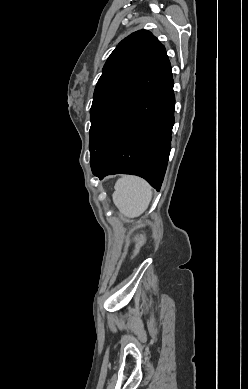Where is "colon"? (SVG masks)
Wrapping results in <instances>:
<instances>
[{
	"label": "colon",
	"instance_id": "1",
	"mask_svg": "<svg viewBox=\"0 0 248 389\" xmlns=\"http://www.w3.org/2000/svg\"><path fill=\"white\" fill-rule=\"evenodd\" d=\"M134 244H135V249L132 253V257L137 255V253L139 252V249L143 245V237L141 234H137L134 236Z\"/></svg>",
	"mask_w": 248,
	"mask_h": 389
}]
</instances>
